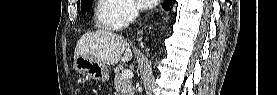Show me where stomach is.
I'll return each instance as SVG.
<instances>
[{"label": "stomach", "instance_id": "1", "mask_svg": "<svg viewBox=\"0 0 277 95\" xmlns=\"http://www.w3.org/2000/svg\"><path fill=\"white\" fill-rule=\"evenodd\" d=\"M74 70L91 79L105 82L109 79V70L106 64L92 56L81 55L74 59Z\"/></svg>", "mask_w": 277, "mask_h": 95}]
</instances>
